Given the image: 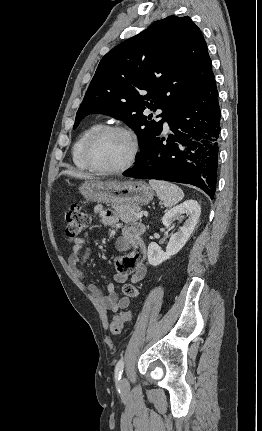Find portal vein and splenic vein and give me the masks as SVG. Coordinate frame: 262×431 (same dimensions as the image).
<instances>
[{"instance_id":"1","label":"portal vein and splenic vein","mask_w":262,"mask_h":431,"mask_svg":"<svg viewBox=\"0 0 262 431\" xmlns=\"http://www.w3.org/2000/svg\"><path fill=\"white\" fill-rule=\"evenodd\" d=\"M136 217H137L138 219H139V218H142V217H143V214H142V213H138Z\"/></svg>"}]
</instances>
